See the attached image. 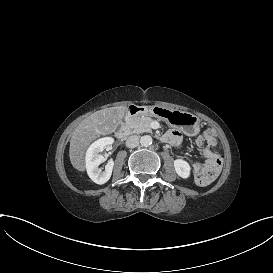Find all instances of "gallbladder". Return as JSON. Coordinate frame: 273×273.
<instances>
[{
    "label": "gallbladder",
    "instance_id": "bac80fb5",
    "mask_svg": "<svg viewBox=\"0 0 273 273\" xmlns=\"http://www.w3.org/2000/svg\"><path fill=\"white\" fill-rule=\"evenodd\" d=\"M119 114H118V117L120 118V119H124L125 117H126V114H125V112H126V109L124 108V107H121L120 109H119Z\"/></svg>",
    "mask_w": 273,
    "mask_h": 273
}]
</instances>
